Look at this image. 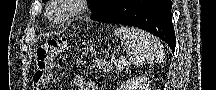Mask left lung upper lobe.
<instances>
[{"mask_svg": "<svg viewBox=\"0 0 216 90\" xmlns=\"http://www.w3.org/2000/svg\"><path fill=\"white\" fill-rule=\"evenodd\" d=\"M46 0H43L45 2ZM90 4V9H92L91 19L95 18L102 12L114 8L122 0H87Z\"/></svg>", "mask_w": 216, "mask_h": 90, "instance_id": "obj_1", "label": "left lung upper lobe"}]
</instances>
